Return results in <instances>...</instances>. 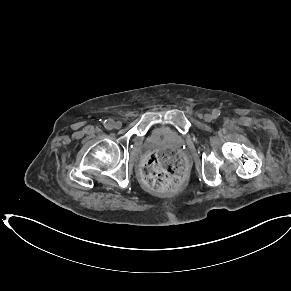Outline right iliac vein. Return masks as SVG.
I'll list each match as a JSON object with an SVG mask.
<instances>
[{"mask_svg":"<svg viewBox=\"0 0 291 291\" xmlns=\"http://www.w3.org/2000/svg\"><path fill=\"white\" fill-rule=\"evenodd\" d=\"M122 126V123L120 121H117L114 123L113 127L116 128V129H120Z\"/></svg>","mask_w":291,"mask_h":291,"instance_id":"63e3f726","label":"right iliac vein"}]
</instances>
